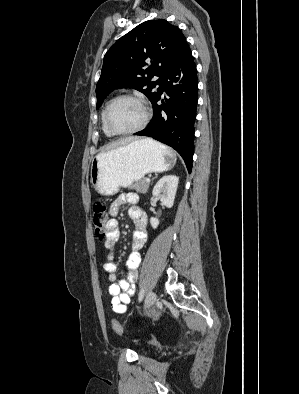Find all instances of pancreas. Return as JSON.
Masks as SVG:
<instances>
[{
  "mask_svg": "<svg viewBox=\"0 0 299 394\" xmlns=\"http://www.w3.org/2000/svg\"><path fill=\"white\" fill-rule=\"evenodd\" d=\"M149 188V183L145 179L135 182L130 186V189L135 190L137 193L145 194Z\"/></svg>",
  "mask_w": 299,
  "mask_h": 394,
  "instance_id": "cf45deb5",
  "label": "pancreas"
}]
</instances>
